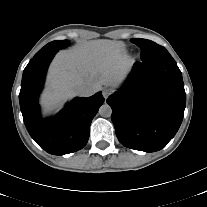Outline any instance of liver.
<instances>
[{"label":"liver","instance_id":"6515ba94","mask_svg":"<svg viewBox=\"0 0 207 207\" xmlns=\"http://www.w3.org/2000/svg\"><path fill=\"white\" fill-rule=\"evenodd\" d=\"M120 41L93 40L59 52L53 60L47 77V90L41 98L46 111L61 104V99L75 95L76 87L88 84L100 90L102 85L119 84L130 69Z\"/></svg>","mask_w":207,"mask_h":207}]
</instances>
